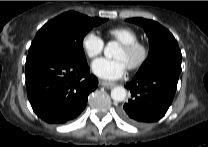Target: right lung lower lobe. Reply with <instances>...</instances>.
Wrapping results in <instances>:
<instances>
[{"mask_svg": "<svg viewBox=\"0 0 208 147\" xmlns=\"http://www.w3.org/2000/svg\"><path fill=\"white\" fill-rule=\"evenodd\" d=\"M98 79L86 63L63 55H46L26 61V88L34 112L45 122L63 124L85 108Z\"/></svg>", "mask_w": 208, "mask_h": 147, "instance_id": "right-lung-lower-lobe-1", "label": "right lung lower lobe"}]
</instances>
